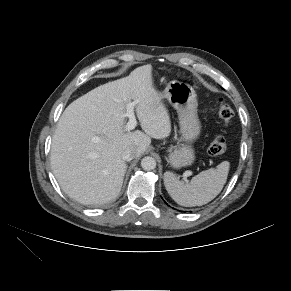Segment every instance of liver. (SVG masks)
Listing matches in <instances>:
<instances>
[{
  "label": "liver",
  "instance_id": "obj_1",
  "mask_svg": "<svg viewBox=\"0 0 291 291\" xmlns=\"http://www.w3.org/2000/svg\"><path fill=\"white\" fill-rule=\"evenodd\" d=\"M135 103L140 130L126 131V107ZM171 133L169 114L153 87L152 66L94 88L61 115L51 146V166L62 190L82 204L109 202L119 194L126 171L122 153L141 156L151 138Z\"/></svg>",
  "mask_w": 291,
  "mask_h": 291
}]
</instances>
